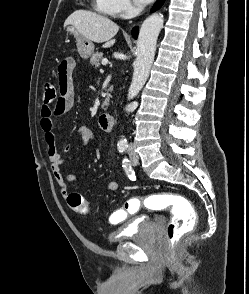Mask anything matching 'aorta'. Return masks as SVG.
<instances>
[{"label":"aorta","mask_w":249,"mask_h":294,"mask_svg":"<svg viewBox=\"0 0 249 294\" xmlns=\"http://www.w3.org/2000/svg\"><path fill=\"white\" fill-rule=\"evenodd\" d=\"M162 14L148 17L142 24L137 40V57L134 62L132 82L128 90V100L133 99L144 86L154 60L156 43L163 27ZM120 145L126 144V139L121 138Z\"/></svg>","instance_id":"aorta-1"}]
</instances>
